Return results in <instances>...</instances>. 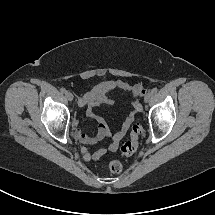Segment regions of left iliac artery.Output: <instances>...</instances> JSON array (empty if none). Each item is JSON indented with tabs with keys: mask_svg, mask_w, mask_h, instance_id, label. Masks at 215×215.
<instances>
[{
	"mask_svg": "<svg viewBox=\"0 0 215 215\" xmlns=\"http://www.w3.org/2000/svg\"><path fill=\"white\" fill-rule=\"evenodd\" d=\"M157 91H158L157 88H153V89L151 90V93H152V94H155V93H157Z\"/></svg>",
	"mask_w": 215,
	"mask_h": 215,
	"instance_id": "1",
	"label": "left iliac artery"
}]
</instances>
